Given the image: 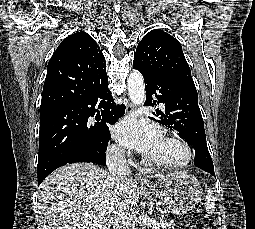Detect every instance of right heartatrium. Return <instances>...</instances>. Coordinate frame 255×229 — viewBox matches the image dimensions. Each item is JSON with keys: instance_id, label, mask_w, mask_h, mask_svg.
<instances>
[{"instance_id": "1", "label": "right heart atrium", "mask_w": 255, "mask_h": 229, "mask_svg": "<svg viewBox=\"0 0 255 229\" xmlns=\"http://www.w3.org/2000/svg\"><path fill=\"white\" fill-rule=\"evenodd\" d=\"M109 152L112 155L119 156L123 153V149L119 146L113 145L109 147Z\"/></svg>"}]
</instances>
